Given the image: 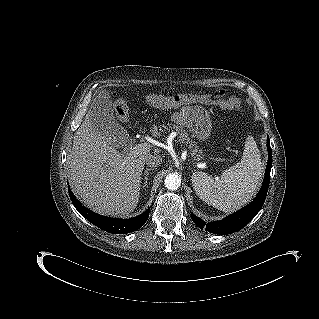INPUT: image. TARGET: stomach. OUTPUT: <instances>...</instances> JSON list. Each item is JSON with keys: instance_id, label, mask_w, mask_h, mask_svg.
<instances>
[{"instance_id": "stomach-1", "label": "stomach", "mask_w": 319, "mask_h": 319, "mask_svg": "<svg viewBox=\"0 0 319 319\" xmlns=\"http://www.w3.org/2000/svg\"><path fill=\"white\" fill-rule=\"evenodd\" d=\"M182 125L187 127L193 136L201 141L210 136L211 120L209 114L203 109H192L185 114Z\"/></svg>"}]
</instances>
